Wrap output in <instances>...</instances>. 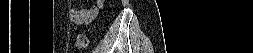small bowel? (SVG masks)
Listing matches in <instances>:
<instances>
[{
  "instance_id": "obj_1",
  "label": "small bowel",
  "mask_w": 253,
  "mask_h": 53,
  "mask_svg": "<svg viewBox=\"0 0 253 53\" xmlns=\"http://www.w3.org/2000/svg\"><path fill=\"white\" fill-rule=\"evenodd\" d=\"M101 1L97 5H93L89 8H74L71 11V19L74 23L79 25H87L96 16L98 9L100 8Z\"/></svg>"
}]
</instances>
